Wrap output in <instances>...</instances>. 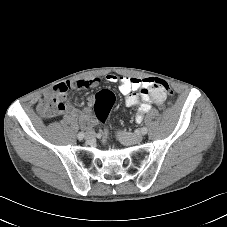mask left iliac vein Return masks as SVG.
<instances>
[{"instance_id": "obj_1", "label": "left iliac vein", "mask_w": 227, "mask_h": 227, "mask_svg": "<svg viewBox=\"0 0 227 227\" xmlns=\"http://www.w3.org/2000/svg\"><path fill=\"white\" fill-rule=\"evenodd\" d=\"M118 138L123 144L130 145L140 143L143 139V136L141 134H132L121 131L118 133Z\"/></svg>"}]
</instances>
